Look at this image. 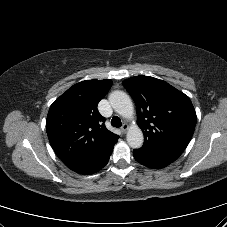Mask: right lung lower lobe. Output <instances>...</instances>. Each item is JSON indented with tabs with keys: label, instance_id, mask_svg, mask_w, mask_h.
<instances>
[{
	"label": "right lung lower lobe",
	"instance_id": "98d812e1",
	"mask_svg": "<svg viewBox=\"0 0 227 227\" xmlns=\"http://www.w3.org/2000/svg\"><path fill=\"white\" fill-rule=\"evenodd\" d=\"M118 140V139H117ZM117 140L104 146L97 153L78 161L65 164L69 169L80 174H93L102 169L109 161Z\"/></svg>",
	"mask_w": 227,
	"mask_h": 227
}]
</instances>
